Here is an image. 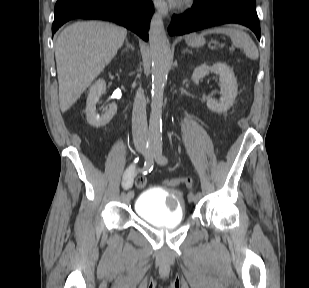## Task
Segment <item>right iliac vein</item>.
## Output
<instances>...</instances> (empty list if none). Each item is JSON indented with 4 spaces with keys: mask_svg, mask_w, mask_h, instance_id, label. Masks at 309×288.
Wrapping results in <instances>:
<instances>
[{
    "mask_svg": "<svg viewBox=\"0 0 309 288\" xmlns=\"http://www.w3.org/2000/svg\"><path fill=\"white\" fill-rule=\"evenodd\" d=\"M138 150H139L140 152H144L143 148H138ZM132 198H133V197H132ZM132 198L129 197V195H128V193H127L126 195H124V196L122 197V201L125 202V203H127V202H129Z\"/></svg>",
    "mask_w": 309,
    "mask_h": 288,
    "instance_id": "63e3f726",
    "label": "right iliac vein"
}]
</instances>
